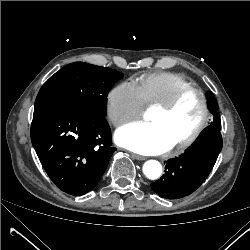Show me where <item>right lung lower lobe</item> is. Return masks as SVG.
<instances>
[{"label":"right lung lower lobe","instance_id":"98d812e1","mask_svg":"<svg viewBox=\"0 0 250 250\" xmlns=\"http://www.w3.org/2000/svg\"><path fill=\"white\" fill-rule=\"evenodd\" d=\"M31 141L51 180L74 196L95 187L116 150L105 116L55 103L34 108Z\"/></svg>","mask_w":250,"mask_h":250}]
</instances>
